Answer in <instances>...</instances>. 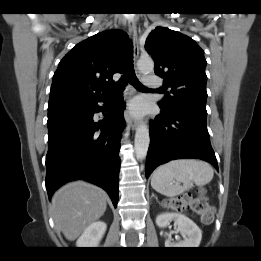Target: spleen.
<instances>
[{
	"instance_id": "3e777b00",
	"label": "spleen",
	"mask_w": 261,
	"mask_h": 261,
	"mask_svg": "<svg viewBox=\"0 0 261 261\" xmlns=\"http://www.w3.org/2000/svg\"><path fill=\"white\" fill-rule=\"evenodd\" d=\"M214 175L212 166L195 159H178L159 166L151 178L154 190L167 197L178 196L193 187L204 186Z\"/></svg>"
}]
</instances>
